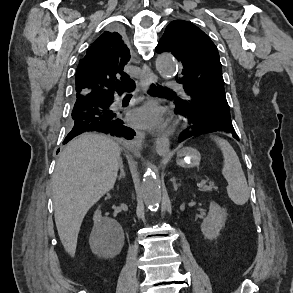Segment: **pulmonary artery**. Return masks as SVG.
I'll return each instance as SVG.
<instances>
[{
    "instance_id": "e3ab8cb5",
    "label": "pulmonary artery",
    "mask_w": 293,
    "mask_h": 293,
    "mask_svg": "<svg viewBox=\"0 0 293 293\" xmlns=\"http://www.w3.org/2000/svg\"><path fill=\"white\" fill-rule=\"evenodd\" d=\"M167 86L170 88V89H172V90H180V91H183L182 90V87L179 85V84H177V83H174V82H167Z\"/></svg>"
}]
</instances>
